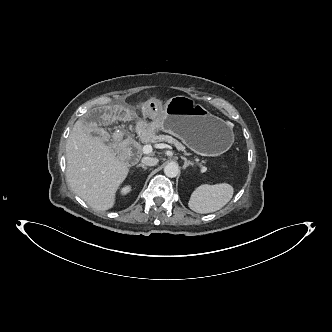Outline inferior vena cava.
I'll use <instances>...</instances> for the list:
<instances>
[{"label":"inferior vena cava","mask_w":332,"mask_h":332,"mask_svg":"<svg viewBox=\"0 0 332 332\" xmlns=\"http://www.w3.org/2000/svg\"><path fill=\"white\" fill-rule=\"evenodd\" d=\"M141 162L146 166H155L158 163V159L156 157H143Z\"/></svg>","instance_id":"1"}]
</instances>
